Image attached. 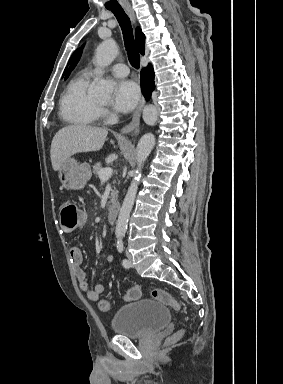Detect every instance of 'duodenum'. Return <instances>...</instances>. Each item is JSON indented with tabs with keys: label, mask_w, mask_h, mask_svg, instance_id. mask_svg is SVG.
<instances>
[{
	"label": "duodenum",
	"mask_w": 283,
	"mask_h": 384,
	"mask_svg": "<svg viewBox=\"0 0 283 384\" xmlns=\"http://www.w3.org/2000/svg\"><path fill=\"white\" fill-rule=\"evenodd\" d=\"M119 216V206L114 205L112 209L109 210L107 214V219L110 224H115Z\"/></svg>",
	"instance_id": "410a0bca"
}]
</instances>
